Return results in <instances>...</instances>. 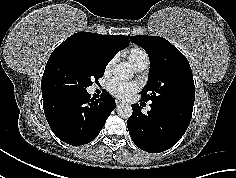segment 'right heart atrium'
<instances>
[{
    "label": "right heart atrium",
    "instance_id": "obj_1",
    "mask_svg": "<svg viewBox=\"0 0 236 178\" xmlns=\"http://www.w3.org/2000/svg\"><path fill=\"white\" fill-rule=\"evenodd\" d=\"M114 62L115 58H112L111 60L108 61L104 69L105 74H109L111 72Z\"/></svg>",
    "mask_w": 236,
    "mask_h": 178
}]
</instances>
